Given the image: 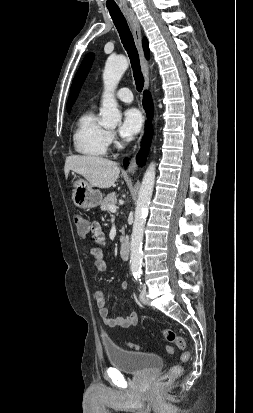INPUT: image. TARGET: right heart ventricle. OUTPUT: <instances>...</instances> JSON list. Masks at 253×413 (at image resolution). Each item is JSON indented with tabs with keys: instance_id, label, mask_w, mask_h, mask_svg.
Wrapping results in <instances>:
<instances>
[{
	"instance_id": "1",
	"label": "right heart ventricle",
	"mask_w": 253,
	"mask_h": 413,
	"mask_svg": "<svg viewBox=\"0 0 253 413\" xmlns=\"http://www.w3.org/2000/svg\"><path fill=\"white\" fill-rule=\"evenodd\" d=\"M108 132L98 122L92 109L85 111L77 120L73 133L75 151L89 158L103 157L108 148Z\"/></svg>"
}]
</instances>
